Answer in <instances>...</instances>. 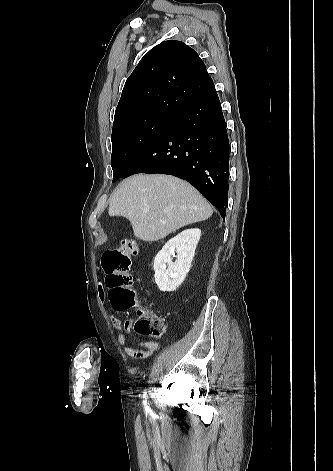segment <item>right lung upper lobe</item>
<instances>
[{
	"instance_id": "right-lung-upper-lobe-1",
	"label": "right lung upper lobe",
	"mask_w": 333,
	"mask_h": 471,
	"mask_svg": "<svg viewBox=\"0 0 333 471\" xmlns=\"http://www.w3.org/2000/svg\"><path fill=\"white\" fill-rule=\"evenodd\" d=\"M214 86L204 62L181 41L152 48L127 79L114 121L136 113L176 115Z\"/></svg>"
}]
</instances>
